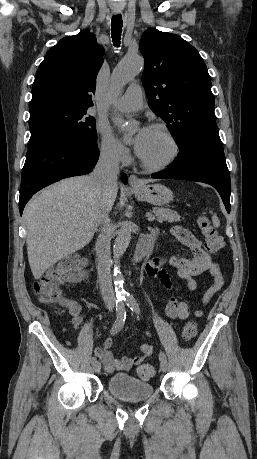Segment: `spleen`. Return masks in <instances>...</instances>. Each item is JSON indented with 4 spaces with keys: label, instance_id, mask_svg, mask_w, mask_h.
Wrapping results in <instances>:
<instances>
[{
    "label": "spleen",
    "instance_id": "1",
    "mask_svg": "<svg viewBox=\"0 0 257 459\" xmlns=\"http://www.w3.org/2000/svg\"><path fill=\"white\" fill-rule=\"evenodd\" d=\"M212 223H213L214 227H219L220 226V220H219V218L217 217L216 214L212 215Z\"/></svg>",
    "mask_w": 257,
    "mask_h": 459
}]
</instances>
